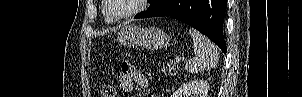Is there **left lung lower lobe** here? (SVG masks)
Instances as JSON below:
<instances>
[{
    "label": "left lung lower lobe",
    "instance_id": "left-lung-lower-lobe-1",
    "mask_svg": "<svg viewBox=\"0 0 302 97\" xmlns=\"http://www.w3.org/2000/svg\"><path fill=\"white\" fill-rule=\"evenodd\" d=\"M227 0H152L149 8L135 18L168 16L208 36L226 53L223 21Z\"/></svg>",
    "mask_w": 302,
    "mask_h": 97
}]
</instances>
